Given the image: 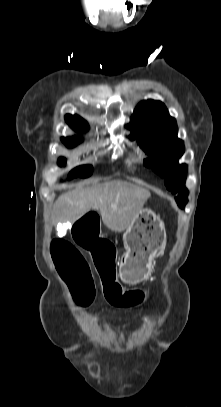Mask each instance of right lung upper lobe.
<instances>
[{
    "instance_id": "obj_1",
    "label": "right lung upper lobe",
    "mask_w": 221,
    "mask_h": 407,
    "mask_svg": "<svg viewBox=\"0 0 221 407\" xmlns=\"http://www.w3.org/2000/svg\"><path fill=\"white\" fill-rule=\"evenodd\" d=\"M65 120L72 129H74L78 132H85L89 128L87 122L78 115H66ZM62 141L64 143L77 144L81 140L78 137H68V138H62Z\"/></svg>"
}]
</instances>
